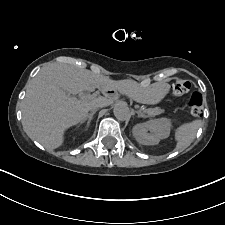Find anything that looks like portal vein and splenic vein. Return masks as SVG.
I'll use <instances>...</instances> for the list:
<instances>
[{"label": "portal vein and splenic vein", "mask_w": 225, "mask_h": 225, "mask_svg": "<svg viewBox=\"0 0 225 225\" xmlns=\"http://www.w3.org/2000/svg\"><path fill=\"white\" fill-rule=\"evenodd\" d=\"M93 96H96V94H93ZM82 97H90L89 95L85 96V95H82Z\"/></svg>", "instance_id": "1"}]
</instances>
